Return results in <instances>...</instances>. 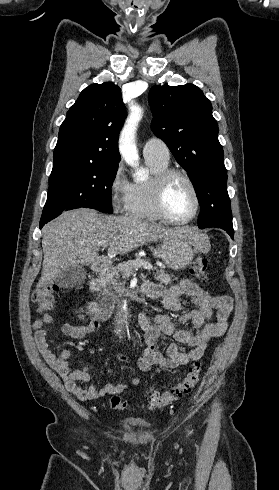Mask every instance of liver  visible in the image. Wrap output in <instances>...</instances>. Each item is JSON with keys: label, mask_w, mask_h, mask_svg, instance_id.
<instances>
[{"label": "liver", "mask_w": 279, "mask_h": 490, "mask_svg": "<svg viewBox=\"0 0 279 490\" xmlns=\"http://www.w3.org/2000/svg\"><path fill=\"white\" fill-rule=\"evenodd\" d=\"M42 240L43 270L36 288H43L58 278L69 266L98 264L102 244H109L107 254H128L145 242H165L174 236L191 240L202 252V236L193 228H164L148 224L141 218L104 216L96 210L79 208L64 212L46 224Z\"/></svg>", "instance_id": "6515ba94"}]
</instances>
